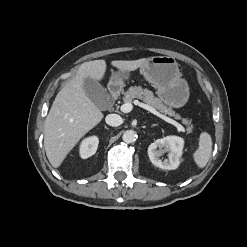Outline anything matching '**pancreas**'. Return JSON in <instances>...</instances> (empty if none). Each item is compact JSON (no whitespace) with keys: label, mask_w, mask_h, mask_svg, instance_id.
Segmentation results:
<instances>
[{"label":"pancreas","mask_w":247,"mask_h":247,"mask_svg":"<svg viewBox=\"0 0 247 247\" xmlns=\"http://www.w3.org/2000/svg\"><path fill=\"white\" fill-rule=\"evenodd\" d=\"M134 99L142 100L144 103L155 108L161 113L168 114L169 116H173L177 119L180 118V116L175 114V112L170 107H167L165 104H163L160 98L155 97L152 91L143 89L141 86H131L128 91L124 93L123 100L125 103H131L134 101ZM183 123L189 125L190 121L183 119ZM191 131L192 126H188L187 132L190 133Z\"/></svg>","instance_id":"1"}]
</instances>
